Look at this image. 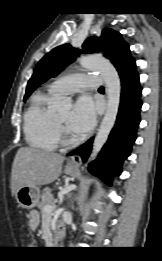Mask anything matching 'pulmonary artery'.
<instances>
[{
	"instance_id": "1",
	"label": "pulmonary artery",
	"mask_w": 162,
	"mask_h": 261,
	"mask_svg": "<svg viewBox=\"0 0 162 261\" xmlns=\"http://www.w3.org/2000/svg\"><path fill=\"white\" fill-rule=\"evenodd\" d=\"M101 80L100 75L71 74L50 83L49 90L57 95H66L83 89H98Z\"/></svg>"
}]
</instances>
